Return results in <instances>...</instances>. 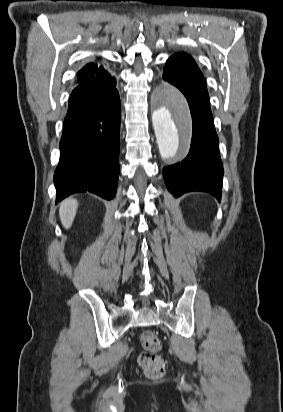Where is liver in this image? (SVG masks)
Here are the masks:
<instances>
[{
  "label": "liver",
  "instance_id": "obj_1",
  "mask_svg": "<svg viewBox=\"0 0 283 412\" xmlns=\"http://www.w3.org/2000/svg\"><path fill=\"white\" fill-rule=\"evenodd\" d=\"M78 208V201L76 199H66L63 201L59 208V216L61 223L65 229H69L76 216Z\"/></svg>",
  "mask_w": 283,
  "mask_h": 412
}]
</instances>
